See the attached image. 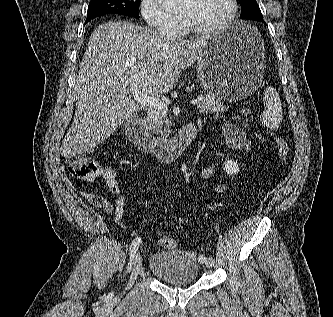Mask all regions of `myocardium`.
Returning a JSON list of instances; mask_svg holds the SVG:
<instances>
[{"label":"myocardium","instance_id":"f54148a6","mask_svg":"<svg viewBox=\"0 0 333 317\" xmlns=\"http://www.w3.org/2000/svg\"><path fill=\"white\" fill-rule=\"evenodd\" d=\"M231 9L227 17L220 22L217 25L211 26V27H200L196 25L188 16L180 14V18L184 24V27L187 31H189L192 34L200 35V36H206V35H212L219 33L226 28H228L234 19L237 16L238 13V1L237 0H229Z\"/></svg>","mask_w":333,"mask_h":317}]
</instances>
